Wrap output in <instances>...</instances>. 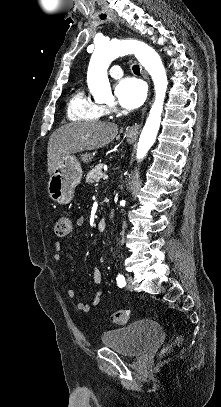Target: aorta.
I'll list each match as a JSON object with an SVG mask.
<instances>
[{"mask_svg": "<svg viewBox=\"0 0 221 407\" xmlns=\"http://www.w3.org/2000/svg\"><path fill=\"white\" fill-rule=\"evenodd\" d=\"M131 53L151 75L155 88V101L141 132L137 147V158L143 159L156 140L168 84L160 56L153 48L138 40H113L99 43L96 45L89 63L87 83L96 100L106 101L111 98L107 69L113 60Z\"/></svg>", "mask_w": 221, "mask_h": 407, "instance_id": "aorta-1", "label": "aorta"}]
</instances>
